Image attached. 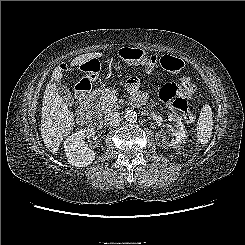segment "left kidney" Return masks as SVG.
Returning <instances> with one entry per match:
<instances>
[{"instance_id":"left-kidney-1","label":"left kidney","mask_w":245,"mask_h":245,"mask_svg":"<svg viewBox=\"0 0 245 245\" xmlns=\"http://www.w3.org/2000/svg\"><path fill=\"white\" fill-rule=\"evenodd\" d=\"M169 121L174 126L175 130L172 132L171 136L173 138L170 140V134L169 137L166 135V132L161 130L160 132L156 133V140L159 141V145L163 148L168 147H177L182 142H185V139L187 138L186 130L184 129V125L181 122V119L179 117L175 118L174 116H169ZM175 137V138H174Z\"/></svg>"}]
</instances>
